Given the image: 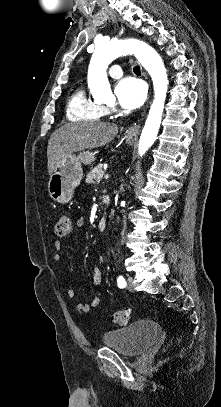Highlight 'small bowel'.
<instances>
[{
	"mask_svg": "<svg viewBox=\"0 0 221 407\" xmlns=\"http://www.w3.org/2000/svg\"><path fill=\"white\" fill-rule=\"evenodd\" d=\"M86 224L85 218L84 216H80L77 221H76V226L77 228H83ZM54 248L56 250V254H55V258L56 259H60V251L62 248V243L61 241H56L54 244ZM92 282L94 284V286L98 289L97 293L95 295V297L90 301V302H82V301H78L76 303V308L79 311L82 312H89L92 309H94L95 307L98 306L99 302H100V295H101V284H102V270L98 267H96L93 270V274H92ZM66 294L68 296V298H74L76 293L73 289H69L66 291Z\"/></svg>",
	"mask_w": 221,
	"mask_h": 407,
	"instance_id": "small-bowel-1",
	"label": "small bowel"
}]
</instances>
